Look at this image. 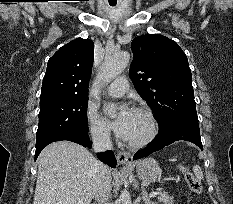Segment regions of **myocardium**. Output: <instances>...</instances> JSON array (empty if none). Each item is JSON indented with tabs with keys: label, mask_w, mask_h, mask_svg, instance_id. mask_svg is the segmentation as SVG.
<instances>
[{
	"label": "myocardium",
	"mask_w": 233,
	"mask_h": 204,
	"mask_svg": "<svg viewBox=\"0 0 233 204\" xmlns=\"http://www.w3.org/2000/svg\"><path fill=\"white\" fill-rule=\"evenodd\" d=\"M134 112L140 113L145 116L147 119L149 130L148 133L141 140L138 141H128L126 144L131 149H141L148 146L156 138L158 134V122L154 113L146 107H137L134 109Z\"/></svg>",
	"instance_id": "1"
}]
</instances>
